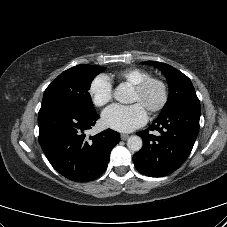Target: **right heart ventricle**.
<instances>
[{
	"mask_svg": "<svg viewBox=\"0 0 227 227\" xmlns=\"http://www.w3.org/2000/svg\"><path fill=\"white\" fill-rule=\"evenodd\" d=\"M150 76L151 75L149 71L137 67L127 68L114 74V77L119 81L128 83L133 86L139 84Z\"/></svg>",
	"mask_w": 227,
	"mask_h": 227,
	"instance_id": "1",
	"label": "right heart ventricle"
}]
</instances>
